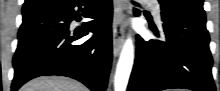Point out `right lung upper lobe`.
Here are the masks:
<instances>
[{
    "label": "right lung upper lobe",
    "instance_id": "right-lung-upper-lobe-1",
    "mask_svg": "<svg viewBox=\"0 0 220 91\" xmlns=\"http://www.w3.org/2000/svg\"><path fill=\"white\" fill-rule=\"evenodd\" d=\"M30 1H36V4L32 5V6H28V3ZM58 1H60V0H26L23 5V8H22V13L30 11V10H34L37 8L45 7V6H52L53 4L57 3Z\"/></svg>",
    "mask_w": 220,
    "mask_h": 91
}]
</instances>
